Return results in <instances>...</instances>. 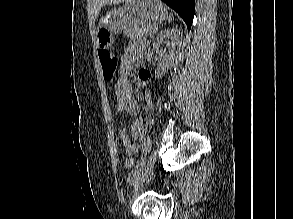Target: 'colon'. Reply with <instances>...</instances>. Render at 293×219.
<instances>
[{
	"label": "colon",
	"instance_id": "colon-1",
	"mask_svg": "<svg viewBox=\"0 0 293 219\" xmlns=\"http://www.w3.org/2000/svg\"><path fill=\"white\" fill-rule=\"evenodd\" d=\"M99 61L103 71V77L106 81H112L117 71L118 60L116 55L107 49L99 50ZM135 161L132 158H128L125 162L126 167L130 168L134 166Z\"/></svg>",
	"mask_w": 293,
	"mask_h": 219
}]
</instances>
